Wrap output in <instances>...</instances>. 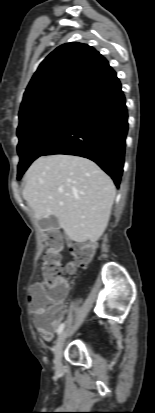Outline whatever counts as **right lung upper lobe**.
<instances>
[{"mask_svg": "<svg viewBox=\"0 0 155 413\" xmlns=\"http://www.w3.org/2000/svg\"><path fill=\"white\" fill-rule=\"evenodd\" d=\"M116 77L108 61L93 47L66 43L40 64L23 97L19 126L64 104H79Z\"/></svg>", "mask_w": 155, "mask_h": 413, "instance_id": "obj_1", "label": "right lung upper lobe"}]
</instances>
